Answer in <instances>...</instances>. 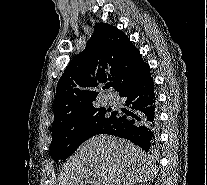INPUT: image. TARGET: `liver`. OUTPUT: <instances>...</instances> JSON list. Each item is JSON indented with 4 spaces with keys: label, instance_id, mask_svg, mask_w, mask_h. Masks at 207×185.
Returning a JSON list of instances; mask_svg holds the SVG:
<instances>
[{
    "label": "liver",
    "instance_id": "6515ba94",
    "mask_svg": "<svg viewBox=\"0 0 207 185\" xmlns=\"http://www.w3.org/2000/svg\"><path fill=\"white\" fill-rule=\"evenodd\" d=\"M147 153L131 141L96 135L85 141L66 161L62 185L92 179L94 185H138L152 177Z\"/></svg>",
    "mask_w": 207,
    "mask_h": 185
}]
</instances>
